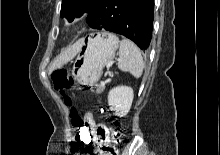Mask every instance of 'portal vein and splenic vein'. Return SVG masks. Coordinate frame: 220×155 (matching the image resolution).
I'll list each match as a JSON object with an SVG mask.
<instances>
[{"instance_id":"obj_1","label":"portal vein and splenic vein","mask_w":220,"mask_h":155,"mask_svg":"<svg viewBox=\"0 0 220 155\" xmlns=\"http://www.w3.org/2000/svg\"><path fill=\"white\" fill-rule=\"evenodd\" d=\"M108 81H104L102 82V86H105V84L107 83Z\"/></svg>"}]
</instances>
